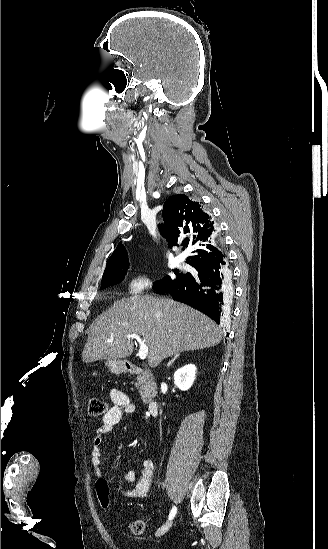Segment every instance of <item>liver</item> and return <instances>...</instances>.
I'll return each instance as SVG.
<instances>
[{
  "label": "liver",
  "instance_id": "1",
  "mask_svg": "<svg viewBox=\"0 0 328 549\" xmlns=\"http://www.w3.org/2000/svg\"><path fill=\"white\" fill-rule=\"evenodd\" d=\"M131 333L143 337L150 367L182 351L215 347L222 339L215 321L200 311L173 299L134 295L115 301L93 321L82 353L84 363L130 357L134 343L126 335Z\"/></svg>",
  "mask_w": 328,
  "mask_h": 549
}]
</instances>
